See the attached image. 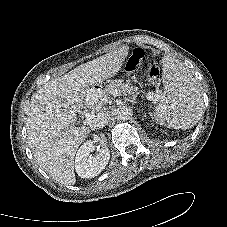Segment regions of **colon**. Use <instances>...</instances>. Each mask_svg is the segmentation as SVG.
<instances>
[{
    "label": "colon",
    "mask_w": 227,
    "mask_h": 227,
    "mask_svg": "<svg viewBox=\"0 0 227 227\" xmlns=\"http://www.w3.org/2000/svg\"><path fill=\"white\" fill-rule=\"evenodd\" d=\"M144 67L147 68L150 81L158 85L160 83V68L157 62L152 58H147L142 48H135L127 60L126 70L136 72Z\"/></svg>",
    "instance_id": "5ec220e1"
}]
</instances>
